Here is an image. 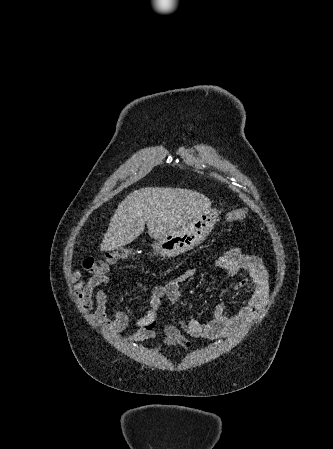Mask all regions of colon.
<instances>
[{"label":"colon","mask_w":333,"mask_h":449,"mask_svg":"<svg viewBox=\"0 0 333 449\" xmlns=\"http://www.w3.org/2000/svg\"><path fill=\"white\" fill-rule=\"evenodd\" d=\"M247 215V210L244 208L233 210L226 214V221L236 222L243 220ZM130 250L128 248H119L108 251L102 255L91 256L84 260L83 268L91 274H104L109 268L117 262L128 258Z\"/></svg>","instance_id":"colon-1"}]
</instances>
